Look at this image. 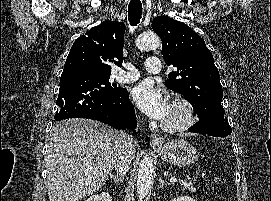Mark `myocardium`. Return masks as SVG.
Listing matches in <instances>:
<instances>
[{
    "mask_svg": "<svg viewBox=\"0 0 271 201\" xmlns=\"http://www.w3.org/2000/svg\"><path fill=\"white\" fill-rule=\"evenodd\" d=\"M171 109L177 110L180 118L175 122L163 121V130L171 133L183 132L190 129L197 121L196 112L192 104L182 97H175L171 102Z\"/></svg>",
    "mask_w": 271,
    "mask_h": 201,
    "instance_id": "obj_1",
    "label": "myocardium"
}]
</instances>
